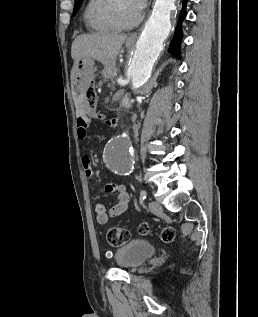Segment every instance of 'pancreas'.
<instances>
[{"label": "pancreas", "mask_w": 258, "mask_h": 317, "mask_svg": "<svg viewBox=\"0 0 258 317\" xmlns=\"http://www.w3.org/2000/svg\"><path fill=\"white\" fill-rule=\"evenodd\" d=\"M111 89L113 90L114 93H119L120 92V87L116 83V78H111Z\"/></svg>", "instance_id": "obj_1"}]
</instances>
